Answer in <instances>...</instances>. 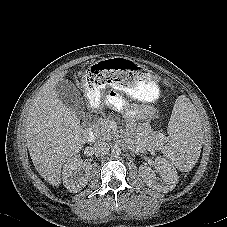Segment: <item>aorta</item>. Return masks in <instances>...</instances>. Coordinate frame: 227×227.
Here are the masks:
<instances>
[{"instance_id": "aorta-1", "label": "aorta", "mask_w": 227, "mask_h": 227, "mask_svg": "<svg viewBox=\"0 0 227 227\" xmlns=\"http://www.w3.org/2000/svg\"><path fill=\"white\" fill-rule=\"evenodd\" d=\"M121 154V149L119 146L115 145L111 148V155L113 157H118Z\"/></svg>"}]
</instances>
